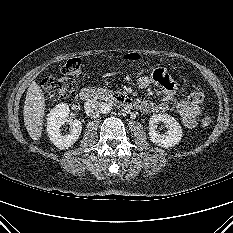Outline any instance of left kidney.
Instances as JSON below:
<instances>
[{
	"label": "left kidney",
	"instance_id": "obj_1",
	"mask_svg": "<svg viewBox=\"0 0 233 233\" xmlns=\"http://www.w3.org/2000/svg\"><path fill=\"white\" fill-rule=\"evenodd\" d=\"M159 122L165 123L168 129L166 133L159 134L156 131L155 128ZM182 134L179 123L168 114H155L149 120V138L153 143L163 148L173 147L178 144L181 141Z\"/></svg>",
	"mask_w": 233,
	"mask_h": 233
}]
</instances>
